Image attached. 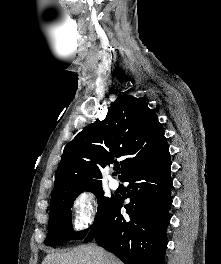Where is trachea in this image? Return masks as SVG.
<instances>
[{
	"label": "trachea",
	"instance_id": "3493384b",
	"mask_svg": "<svg viewBox=\"0 0 221 264\" xmlns=\"http://www.w3.org/2000/svg\"><path fill=\"white\" fill-rule=\"evenodd\" d=\"M119 169V167H115V170L117 171Z\"/></svg>",
	"mask_w": 221,
	"mask_h": 264
}]
</instances>
